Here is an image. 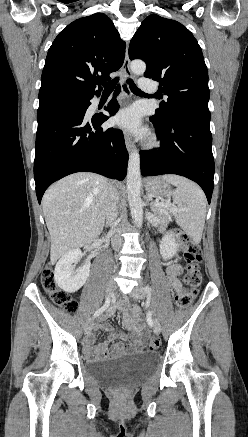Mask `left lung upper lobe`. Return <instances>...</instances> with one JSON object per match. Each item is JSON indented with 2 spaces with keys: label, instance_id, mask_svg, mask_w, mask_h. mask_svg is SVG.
I'll return each mask as SVG.
<instances>
[{
  "label": "left lung upper lobe",
  "instance_id": "obj_1",
  "mask_svg": "<svg viewBox=\"0 0 248 437\" xmlns=\"http://www.w3.org/2000/svg\"><path fill=\"white\" fill-rule=\"evenodd\" d=\"M129 57L146 63L144 76L159 81L168 98L156 109L167 121L179 111L207 110L208 71L192 33L177 21L148 16L130 41Z\"/></svg>",
  "mask_w": 248,
  "mask_h": 437
}]
</instances>
